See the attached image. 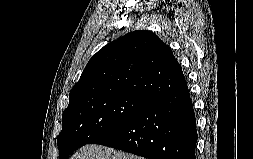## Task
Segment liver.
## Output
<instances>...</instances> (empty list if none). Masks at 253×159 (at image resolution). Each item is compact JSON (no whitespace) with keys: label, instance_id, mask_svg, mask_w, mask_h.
<instances>
[{"label":"liver","instance_id":"liver-1","mask_svg":"<svg viewBox=\"0 0 253 159\" xmlns=\"http://www.w3.org/2000/svg\"><path fill=\"white\" fill-rule=\"evenodd\" d=\"M70 159H144L106 146L87 144Z\"/></svg>","mask_w":253,"mask_h":159}]
</instances>
